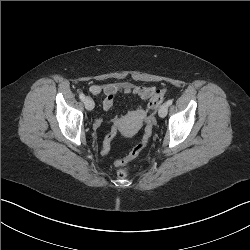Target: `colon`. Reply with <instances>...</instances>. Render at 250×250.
<instances>
[{"instance_id":"5ec220e1","label":"colon","mask_w":250,"mask_h":250,"mask_svg":"<svg viewBox=\"0 0 250 250\" xmlns=\"http://www.w3.org/2000/svg\"><path fill=\"white\" fill-rule=\"evenodd\" d=\"M165 91V89H158L156 91L151 113L146 119L144 134L141 141L133 147L131 152L125 158L115 161V166H119V169L117 171L118 177L125 178L127 176L128 170L132 166L134 160L148 145L155 124L154 112L157 107L162 103L165 96ZM118 129V126L114 124L111 126L109 132L104 136V139L102 141V150L100 152L102 156L105 157L109 154L111 146L116 139L115 135L117 134Z\"/></svg>"}]
</instances>
